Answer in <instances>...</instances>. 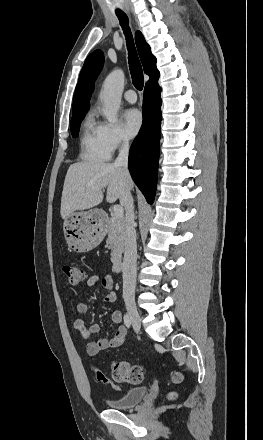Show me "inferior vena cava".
<instances>
[{"instance_id":"obj_1","label":"inferior vena cava","mask_w":263,"mask_h":440,"mask_svg":"<svg viewBox=\"0 0 263 440\" xmlns=\"http://www.w3.org/2000/svg\"><path fill=\"white\" fill-rule=\"evenodd\" d=\"M128 155H129V141L123 138V143L119 150V155L114 162V166L121 169L123 177L130 179L128 171ZM121 204L126 211V225L124 234V258H123V298L125 301L133 300L136 287V261H137V246H136V231L134 226V205L133 197L130 188L126 187L122 197Z\"/></svg>"}]
</instances>
